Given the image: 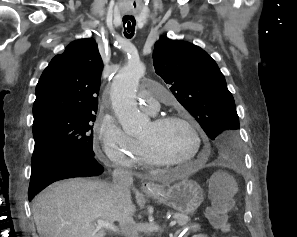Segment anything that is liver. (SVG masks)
<instances>
[{
  "instance_id": "6515ba94",
  "label": "liver",
  "mask_w": 297,
  "mask_h": 237,
  "mask_svg": "<svg viewBox=\"0 0 297 237\" xmlns=\"http://www.w3.org/2000/svg\"><path fill=\"white\" fill-rule=\"evenodd\" d=\"M136 211L130 202V215ZM33 218L40 237H104L95 221L110 224L124 217L112 186L84 178L56 182L33 201Z\"/></svg>"
}]
</instances>
